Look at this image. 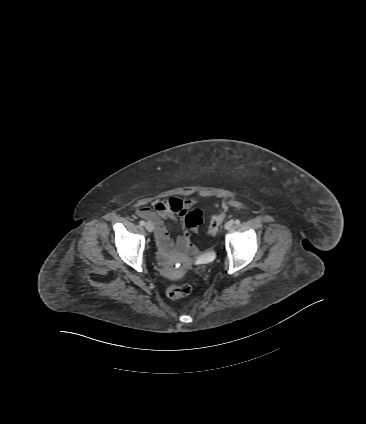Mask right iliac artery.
Returning a JSON list of instances; mask_svg holds the SVG:
<instances>
[{
	"instance_id": "82829eb1",
	"label": "right iliac artery",
	"mask_w": 366,
	"mask_h": 424,
	"mask_svg": "<svg viewBox=\"0 0 366 424\" xmlns=\"http://www.w3.org/2000/svg\"><path fill=\"white\" fill-rule=\"evenodd\" d=\"M139 224H140L141 226H144V225H145V222H144L143 220H141V221L139 222Z\"/></svg>"
}]
</instances>
